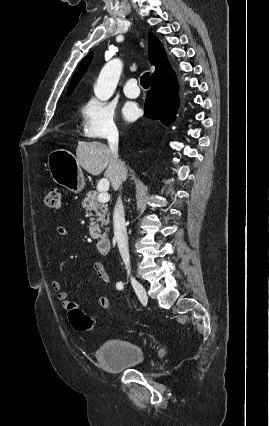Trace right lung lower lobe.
<instances>
[{
	"instance_id": "right-lung-lower-lobe-1",
	"label": "right lung lower lobe",
	"mask_w": 269,
	"mask_h": 426,
	"mask_svg": "<svg viewBox=\"0 0 269 426\" xmlns=\"http://www.w3.org/2000/svg\"><path fill=\"white\" fill-rule=\"evenodd\" d=\"M175 82L172 70L151 81L144 105L145 117L160 119L165 125L173 121L178 106Z\"/></svg>"
}]
</instances>
